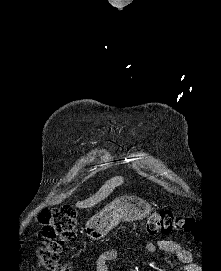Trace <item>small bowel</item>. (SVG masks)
Instances as JSON below:
<instances>
[{"label":"small bowel","mask_w":221,"mask_h":271,"mask_svg":"<svg viewBox=\"0 0 221 271\" xmlns=\"http://www.w3.org/2000/svg\"><path fill=\"white\" fill-rule=\"evenodd\" d=\"M145 251L153 254L158 250L174 254L183 263V271H192V255L182 248L181 245L172 239H160L157 241H146L144 244ZM118 257V250L112 248L102 252L95 262L96 271H109V264Z\"/></svg>","instance_id":"1"}]
</instances>
